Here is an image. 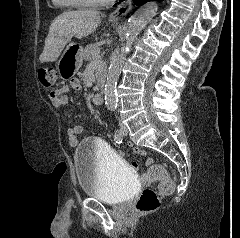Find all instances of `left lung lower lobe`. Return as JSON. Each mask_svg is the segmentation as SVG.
Masks as SVG:
<instances>
[{
	"label": "left lung lower lobe",
	"mask_w": 240,
	"mask_h": 238,
	"mask_svg": "<svg viewBox=\"0 0 240 238\" xmlns=\"http://www.w3.org/2000/svg\"><path fill=\"white\" fill-rule=\"evenodd\" d=\"M122 1V0H120ZM148 1H152V0H133L134 4L138 5V4H141V3H146Z\"/></svg>",
	"instance_id": "left-lung-lower-lobe-1"
}]
</instances>
